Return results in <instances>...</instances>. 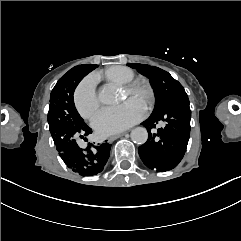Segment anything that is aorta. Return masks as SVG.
<instances>
[{
  "mask_svg": "<svg viewBox=\"0 0 241 241\" xmlns=\"http://www.w3.org/2000/svg\"><path fill=\"white\" fill-rule=\"evenodd\" d=\"M98 98L103 104H113L118 99V91L112 85L103 86L98 93ZM130 136L132 141L139 145L146 143L148 140V132L144 127H136L132 130Z\"/></svg>",
  "mask_w": 241,
  "mask_h": 241,
  "instance_id": "aorta-1",
  "label": "aorta"
}]
</instances>
